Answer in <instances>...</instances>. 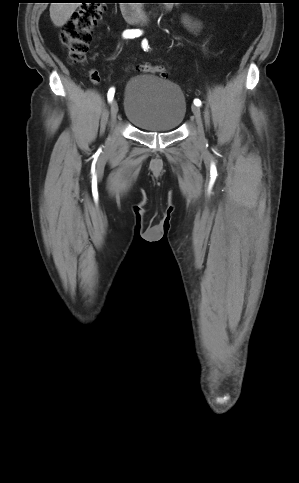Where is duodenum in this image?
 I'll return each instance as SVG.
<instances>
[{"label":"duodenum","instance_id":"410a0bca","mask_svg":"<svg viewBox=\"0 0 299 483\" xmlns=\"http://www.w3.org/2000/svg\"><path fill=\"white\" fill-rule=\"evenodd\" d=\"M121 11L126 21L135 24H143L148 20V15L134 0H123ZM168 9V7H164Z\"/></svg>","mask_w":299,"mask_h":483}]
</instances>
